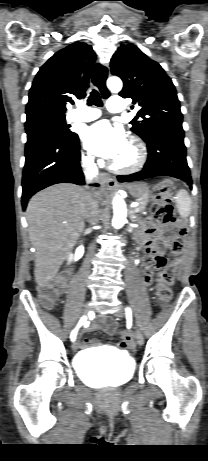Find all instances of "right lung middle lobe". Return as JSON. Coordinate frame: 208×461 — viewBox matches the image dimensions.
I'll use <instances>...</instances> for the list:
<instances>
[{
    "label": "right lung middle lobe",
    "instance_id": "right-lung-middle-lobe-1",
    "mask_svg": "<svg viewBox=\"0 0 208 461\" xmlns=\"http://www.w3.org/2000/svg\"><path fill=\"white\" fill-rule=\"evenodd\" d=\"M27 143L43 135H58L70 139L76 134L69 130L65 116L33 115L27 116L25 122Z\"/></svg>",
    "mask_w": 208,
    "mask_h": 461
}]
</instances>
